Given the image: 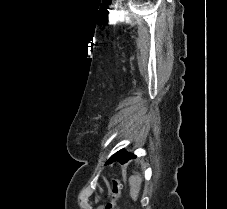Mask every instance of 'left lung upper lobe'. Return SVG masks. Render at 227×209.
I'll use <instances>...</instances> for the list:
<instances>
[{"label": "left lung upper lobe", "instance_id": "obj_1", "mask_svg": "<svg viewBox=\"0 0 227 209\" xmlns=\"http://www.w3.org/2000/svg\"><path fill=\"white\" fill-rule=\"evenodd\" d=\"M127 152L124 151V150H120L118 152H116L114 155H112L109 159V161L107 162V164L109 163H112L114 161H118L120 162V160L124 157V155L126 154Z\"/></svg>", "mask_w": 227, "mask_h": 209}]
</instances>
